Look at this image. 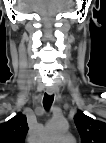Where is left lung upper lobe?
I'll return each instance as SVG.
<instances>
[{"mask_svg": "<svg viewBox=\"0 0 106 143\" xmlns=\"http://www.w3.org/2000/svg\"><path fill=\"white\" fill-rule=\"evenodd\" d=\"M74 122L82 143H106V123L92 119L78 111Z\"/></svg>", "mask_w": 106, "mask_h": 143, "instance_id": "obj_1", "label": "left lung upper lobe"}]
</instances>
